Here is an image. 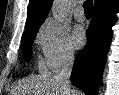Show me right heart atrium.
Wrapping results in <instances>:
<instances>
[{"label":"right heart atrium","mask_w":119,"mask_h":95,"mask_svg":"<svg viewBox=\"0 0 119 95\" xmlns=\"http://www.w3.org/2000/svg\"><path fill=\"white\" fill-rule=\"evenodd\" d=\"M46 66L53 71L73 61L75 51L71 44L68 29L52 20H46L37 34Z\"/></svg>","instance_id":"1"}]
</instances>
